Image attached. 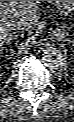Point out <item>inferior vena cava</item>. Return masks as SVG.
Listing matches in <instances>:
<instances>
[{
	"label": "inferior vena cava",
	"mask_w": 74,
	"mask_h": 122,
	"mask_svg": "<svg viewBox=\"0 0 74 122\" xmlns=\"http://www.w3.org/2000/svg\"><path fill=\"white\" fill-rule=\"evenodd\" d=\"M13 30L21 31L27 28L28 24L24 19H14L11 21Z\"/></svg>",
	"instance_id": "inferior-vena-cava-1"
}]
</instances>
